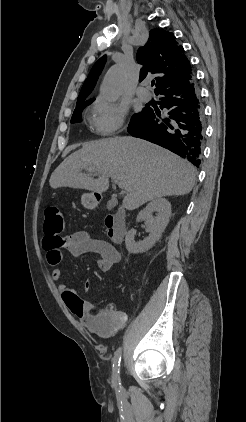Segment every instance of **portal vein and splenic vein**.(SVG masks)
<instances>
[{"label":"portal vein and splenic vein","mask_w":246,"mask_h":422,"mask_svg":"<svg viewBox=\"0 0 246 422\" xmlns=\"http://www.w3.org/2000/svg\"><path fill=\"white\" fill-rule=\"evenodd\" d=\"M115 183L119 186V188L125 189V184L124 183H122V182H120L118 180H115Z\"/></svg>","instance_id":"18ae733b"}]
</instances>
